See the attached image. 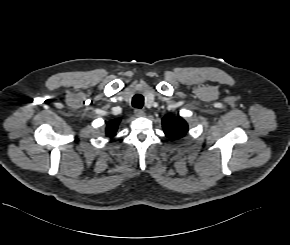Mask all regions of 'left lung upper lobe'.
I'll list each match as a JSON object with an SVG mask.
<instances>
[{
  "label": "left lung upper lobe",
  "mask_w": 290,
  "mask_h": 245,
  "mask_svg": "<svg viewBox=\"0 0 290 245\" xmlns=\"http://www.w3.org/2000/svg\"><path fill=\"white\" fill-rule=\"evenodd\" d=\"M164 133L172 140L183 137L188 131L186 121L180 116L167 115L162 120Z\"/></svg>",
  "instance_id": "left-lung-upper-lobe-1"
}]
</instances>
